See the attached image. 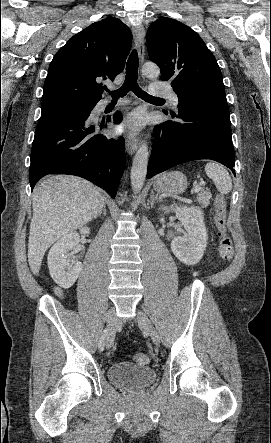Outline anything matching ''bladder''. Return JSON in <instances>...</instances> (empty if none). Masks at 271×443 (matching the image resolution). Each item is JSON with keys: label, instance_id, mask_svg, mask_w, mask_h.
I'll list each match as a JSON object with an SVG mask.
<instances>
[{"label": "bladder", "instance_id": "bladder-1", "mask_svg": "<svg viewBox=\"0 0 271 443\" xmlns=\"http://www.w3.org/2000/svg\"><path fill=\"white\" fill-rule=\"evenodd\" d=\"M112 384L127 390H141L150 386L156 379V372L149 366L131 362H117L108 369Z\"/></svg>", "mask_w": 271, "mask_h": 443}]
</instances>
